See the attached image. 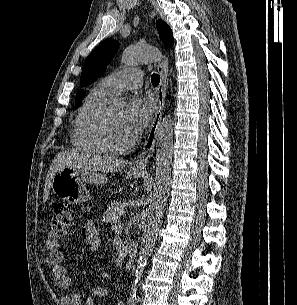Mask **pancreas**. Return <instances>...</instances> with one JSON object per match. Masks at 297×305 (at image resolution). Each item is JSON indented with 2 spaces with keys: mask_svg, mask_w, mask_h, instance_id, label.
<instances>
[{
  "mask_svg": "<svg viewBox=\"0 0 297 305\" xmlns=\"http://www.w3.org/2000/svg\"><path fill=\"white\" fill-rule=\"evenodd\" d=\"M124 211L123 204L121 202L114 201L111 206L104 212L103 219L105 222L116 224ZM128 241H126L127 243Z\"/></svg>",
  "mask_w": 297,
  "mask_h": 305,
  "instance_id": "pancreas-1",
  "label": "pancreas"
}]
</instances>
